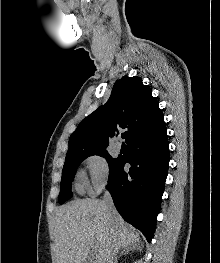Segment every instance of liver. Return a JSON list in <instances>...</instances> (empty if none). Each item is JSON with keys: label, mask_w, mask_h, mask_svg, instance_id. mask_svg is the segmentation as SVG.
<instances>
[{"label": "liver", "mask_w": 220, "mask_h": 263, "mask_svg": "<svg viewBox=\"0 0 220 263\" xmlns=\"http://www.w3.org/2000/svg\"><path fill=\"white\" fill-rule=\"evenodd\" d=\"M139 234L117 213L109 217L103 201L77 199L56 211L55 263H83L98 246L94 263H109L119 249L139 242Z\"/></svg>", "instance_id": "liver-1"}]
</instances>
